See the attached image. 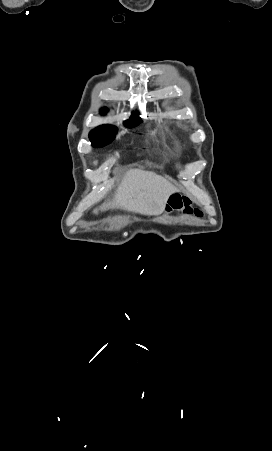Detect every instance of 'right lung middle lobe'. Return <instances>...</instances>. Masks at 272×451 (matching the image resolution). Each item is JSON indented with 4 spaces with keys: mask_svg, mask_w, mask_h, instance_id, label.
<instances>
[{
    "mask_svg": "<svg viewBox=\"0 0 272 451\" xmlns=\"http://www.w3.org/2000/svg\"><path fill=\"white\" fill-rule=\"evenodd\" d=\"M142 120L139 117V113H133L125 125L129 128L137 126ZM116 127L112 125H102L93 129L89 133V138L93 147L99 148L109 144L116 136Z\"/></svg>",
    "mask_w": 272,
    "mask_h": 451,
    "instance_id": "obj_1",
    "label": "right lung middle lobe"
}]
</instances>
